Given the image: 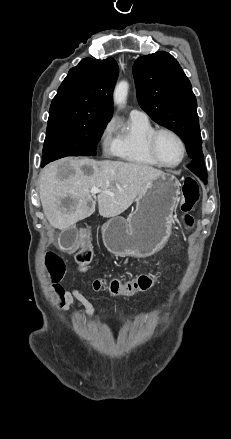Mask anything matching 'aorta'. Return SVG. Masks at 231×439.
Segmentation results:
<instances>
[{"instance_id": "obj_1", "label": "aorta", "mask_w": 231, "mask_h": 439, "mask_svg": "<svg viewBox=\"0 0 231 439\" xmlns=\"http://www.w3.org/2000/svg\"><path fill=\"white\" fill-rule=\"evenodd\" d=\"M128 89H129V85L126 81H121L116 85L113 94V99L115 104L122 105L126 102Z\"/></svg>"}]
</instances>
